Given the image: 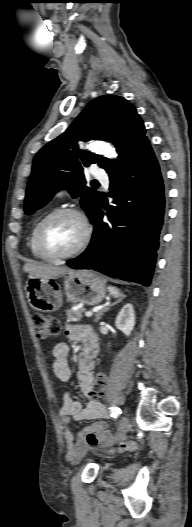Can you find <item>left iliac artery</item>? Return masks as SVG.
<instances>
[{"label": "left iliac artery", "mask_w": 192, "mask_h": 527, "mask_svg": "<svg viewBox=\"0 0 192 527\" xmlns=\"http://www.w3.org/2000/svg\"><path fill=\"white\" fill-rule=\"evenodd\" d=\"M110 413L112 417H118L121 414V410L114 405L110 407Z\"/></svg>", "instance_id": "obj_1"}]
</instances>
